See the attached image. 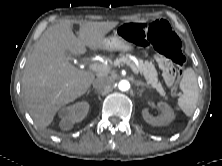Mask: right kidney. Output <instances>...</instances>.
Wrapping results in <instances>:
<instances>
[{
    "instance_id": "ca27d5eb",
    "label": "right kidney",
    "mask_w": 222,
    "mask_h": 166,
    "mask_svg": "<svg viewBox=\"0 0 222 166\" xmlns=\"http://www.w3.org/2000/svg\"><path fill=\"white\" fill-rule=\"evenodd\" d=\"M89 111V104L86 101L77 102L73 105L63 107L58 115L61 118L60 128L62 130L72 129L75 123L81 122Z\"/></svg>"
}]
</instances>
